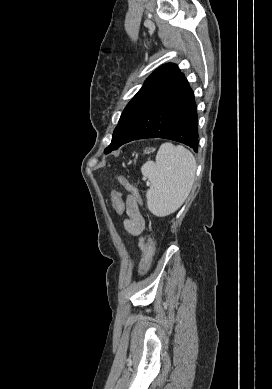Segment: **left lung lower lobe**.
I'll list each match as a JSON object with an SVG mask.
<instances>
[{"instance_id":"obj_1","label":"left lung lower lobe","mask_w":272,"mask_h":389,"mask_svg":"<svg viewBox=\"0 0 272 389\" xmlns=\"http://www.w3.org/2000/svg\"><path fill=\"white\" fill-rule=\"evenodd\" d=\"M196 108L193 91L184 74L179 73L150 99L121 145L138 139L163 138L186 144L197 152Z\"/></svg>"}]
</instances>
